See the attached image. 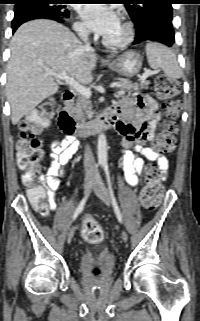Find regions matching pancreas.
<instances>
[{
    "label": "pancreas",
    "mask_w": 200,
    "mask_h": 321,
    "mask_svg": "<svg viewBox=\"0 0 200 321\" xmlns=\"http://www.w3.org/2000/svg\"><path fill=\"white\" fill-rule=\"evenodd\" d=\"M118 87L125 91H135L138 89H148L149 81H141L140 84L132 83L128 79L119 78ZM69 113L80 123H84L92 115L91 101L88 97L79 96L74 104L68 108Z\"/></svg>",
    "instance_id": "pancreas-1"
}]
</instances>
